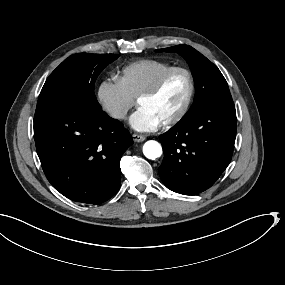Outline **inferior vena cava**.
Wrapping results in <instances>:
<instances>
[{
    "label": "inferior vena cava",
    "mask_w": 285,
    "mask_h": 285,
    "mask_svg": "<svg viewBox=\"0 0 285 285\" xmlns=\"http://www.w3.org/2000/svg\"><path fill=\"white\" fill-rule=\"evenodd\" d=\"M128 109L129 107H127L126 105L110 106L109 108H107V112L113 118L123 119L125 118Z\"/></svg>",
    "instance_id": "602c4592"
}]
</instances>
